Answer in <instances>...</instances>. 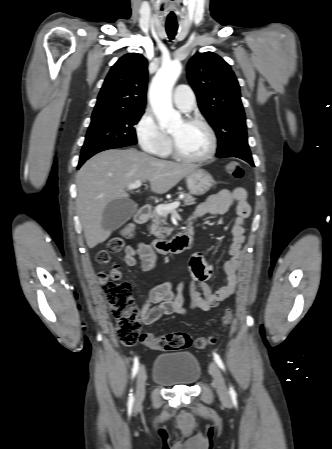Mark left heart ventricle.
Masks as SVG:
<instances>
[{
    "label": "left heart ventricle",
    "mask_w": 332,
    "mask_h": 449,
    "mask_svg": "<svg viewBox=\"0 0 332 449\" xmlns=\"http://www.w3.org/2000/svg\"><path fill=\"white\" fill-rule=\"evenodd\" d=\"M179 150L188 156H202L209 149V137L205 129L197 124L179 121L170 131Z\"/></svg>",
    "instance_id": "obj_1"
}]
</instances>
